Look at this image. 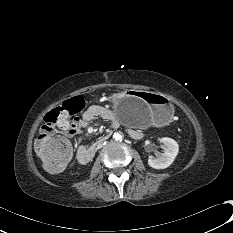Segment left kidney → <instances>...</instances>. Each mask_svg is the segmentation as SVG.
<instances>
[{
    "label": "left kidney",
    "mask_w": 233,
    "mask_h": 233,
    "mask_svg": "<svg viewBox=\"0 0 233 233\" xmlns=\"http://www.w3.org/2000/svg\"><path fill=\"white\" fill-rule=\"evenodd\" d=\"M160 141L164 145V152L159 153L156 158L150 156L148 159L149 166L154 169H165L169 167L179 151L178 143L174 139L163 137Z\"/></svg>",
    "instance_id": "left-kidney-1"
}]
</instances>
